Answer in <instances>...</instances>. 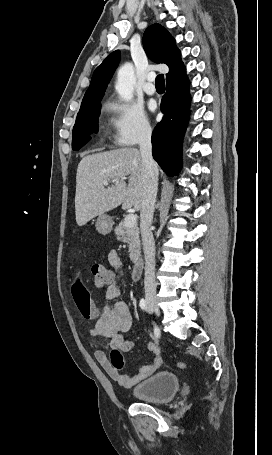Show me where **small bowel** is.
Listing matches in <instances>:
<instances>
[{
  "mask_svg": "<svg viewBox=\"0 0 272 455\" xmlns=\"http://www.w3.org/2000/svg\"><path fill=\"white\" fill-rule=\"evenodd\" d=\"M107 262L114 270L121 268V259L116 251L109 252ZM120 294L121 291L113 272L112 280L106 285V299L115 300ZM72 296L81 315L85 319L95 320L94 327L88 329L91 336L109 338L112 347L119 348L122 352H128L134 347L133 341L124 338V334L132 326V314L127 303L118 301L113 305L97 308L81 280H77L73 284ZM147 349L153 354L151 361L131 375L124 374L119 368L113 366L103 351H95L94 358L113 380L117 381L119 385L129 388L152 375L162 364L159 347L149 342Z\"/></svg>",
  "mask_w": 272,
  "mask_h": 455,
  "instance_id": "c3829d8e",
  "label": "small bowel"
}]
</instances>
